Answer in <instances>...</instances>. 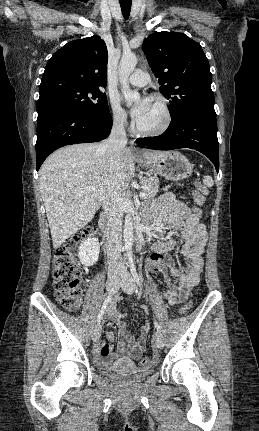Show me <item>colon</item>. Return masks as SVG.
<instances>
[{
  "label": "colon",
  "instance_id": "5ec220e1",
  "mask_svg": "<svg viewBox=\"0 0 259 431\" xmlns=\"http://www.w3.org/2000/svg\"><path fill=\"white\" fill-rule=\"evenodd\" d=\"M195 191L191 208L193 217L199 220L202 217V210L200 205L205 202L208 193L207 188L199 181L195 183ZM94 229H88L84 233L68 239L62 246H60L54 254V290L57 301L66 309L75 311L81 301L83 288L82 277L79 264L76 259V251L82 240L94 235ZM192 303L190 300L185 301L180 307L182 315L187 314L191 309ZM151 359L145 356L141 360L143 366H148Z\"/></svg>",
  "mask_w": 259,
  "mask_h": 431
}]
</instances>
